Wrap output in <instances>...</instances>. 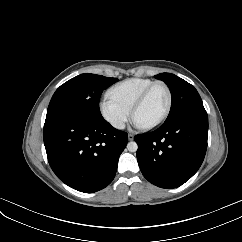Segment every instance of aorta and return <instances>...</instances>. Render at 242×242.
<instances>
[{
    "label": "aorta",
    "mask_w": 242,
    "mask_h": 242,
    "mask_svg": "<svg viewBox=\"0 0 242 242\" xmlns=\"http://www.w3.org/2000/svg\"><path fill=\"white\" fill-rule=\"evenodd\" d=\"M127 149L130 152H136L138 149V145L136 142L132 141L127 144Z\"/></svg>",
    "instance_id": "1"
}]
</instances>
